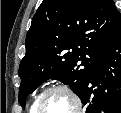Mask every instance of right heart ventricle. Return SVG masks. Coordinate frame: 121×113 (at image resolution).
I'll use <instances>...</instances> for the list:
<instances>
[{"label":"right heart ventricle","mask_w":121,"mask_h":113,"mask_svg":"<svg viewBox=\"0 0 121 113\" xmlns=\"http://www.w3.org/2000/svg\"><path fill=\"white\" fill-rule=\"evenodd\" d=\"M37 99H38V96L35 98V100H34V102H33V104H32L31 109H33V108H34V106H35V103H36Z\"/></svg>","instance_id":"e07e8e85"}]
</instances>
